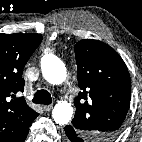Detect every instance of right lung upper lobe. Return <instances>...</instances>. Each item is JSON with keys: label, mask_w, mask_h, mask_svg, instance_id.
Listing matches in <instances>:
<instances>
[{"label": "right lung upper lobe", "mask_w": 142, "mask_h": 142, "mask_svg": "<svg viewBox=\"0 0 142 142\" xmlns=\"http://www.w3.org/2000/svg\"><path fill=\"white\" fill-rule=\"evenodd\" d=\"M41 41L40 34H0V142H24L39 115L18 94L23 68Z\"/></svg>", "instance_id": "cb5924a9"}]
</instances>
